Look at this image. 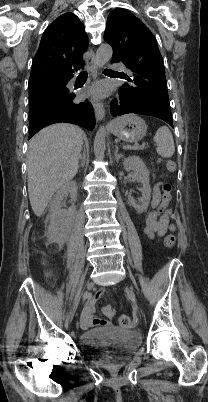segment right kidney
<instances>
[{
  "label": "right kidney",
  "instance_id": "1",
  "mask_svg": "<svg viewBox=\"0 0 208 402\" xmlns=\"http://www.w3.org/2000/svg\"><path fill=\"white\" fill-rule=\"evenodd\" d=\"M78 186L74 180L66 182L64 186L59 188L50 204V216L48 218L49 226L47 230V238L50 242H57L60 246L65 244L70 236V228L67 224L68 218H73L76 214V206H71L68 210H62V200L66 198L65 194H69L72 202L77 200Z\"/></svg>",
  "mask_w": 208,
  "mask_h": 402
}]
</instances>
